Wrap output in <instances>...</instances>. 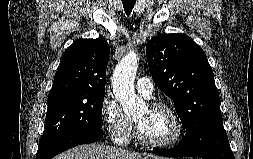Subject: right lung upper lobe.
I'll return each instance as SVG.
<instances>
[{
    "label": "right lung upper lobe",
    "mask_w": 253,
    "mask_h": 159,
    "mask_svg": "<svg viewBox=\"0 0 253 159\" xmlns=\"http://www.w3.org/2000/svg\"><path fill=\"white\" fill-rule=\"evenodd\" d=\"M110 47L103 38L75 41L63 54L49 98L105 91Z\"/></svg>",
    "instance_id": "right-lung-upper-lobe-1"
}]
</instances>
